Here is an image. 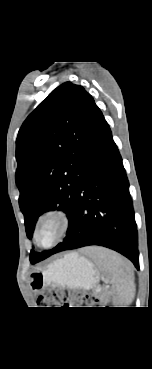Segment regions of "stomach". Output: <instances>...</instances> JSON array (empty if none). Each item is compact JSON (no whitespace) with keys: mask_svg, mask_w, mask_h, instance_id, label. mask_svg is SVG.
Returning <instances> with one entry per match:
<instances>
[{"mask_svg":"<svg viewBox=\"0 0 152 369\" xmlns=\"http://www.w3.org/2000/svg\"><path fill=\"white\" fill-rule=\"evenodd\" d=\"M99 281L94 264L76 253L65 255L31 274V287L41 292L48 286L62 285L73 289H91Z\"/></svg>","mask_w":152,"mask_h":369,"instance_id":"0dacf381","label":"stomach"}]
</instances>
